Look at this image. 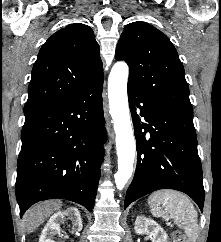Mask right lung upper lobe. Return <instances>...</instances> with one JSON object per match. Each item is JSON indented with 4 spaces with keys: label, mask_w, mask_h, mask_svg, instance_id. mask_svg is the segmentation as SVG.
I'll list each match as a JSON object with an SVG mask.
<instances>
[{
    "label": "right lung upper lobe",
    "mask_w": 221,
    "mask_h": 242,
    "mask_svg": "<svg viewBox=\"0 0 221 242\" xmlns=\"http://www.w3.org/2000/svg\"><path fill=\"white\" fill-rule=\"evenodd\" d=\"M102 76L100 47L93 30L82 23L67 25L40 49L24 112L61 102Z\"/></svg>",
    "instance_id": "obj_1"
}]
</instances>
